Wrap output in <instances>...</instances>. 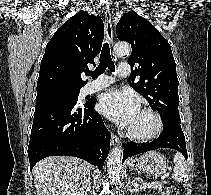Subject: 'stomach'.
Returning <instances> with one entry per match:
<instances>
[{"instance_id": "1", "label": "stomach", "mask_w": 211, "mask_h": 195, "mask_svg": "<svg viewBox=\"0 0 211 195\" xmlns=\"http://www.w3.org/2000/svg\"><path fill=\"white\" fill-rule=\"evenodd\" d=\"M128 166L131 170L141 171L152 176H160L168 169L165 157L156 151L147 152L139 158L129 161Z\"/></svg>"}]
</instances>
